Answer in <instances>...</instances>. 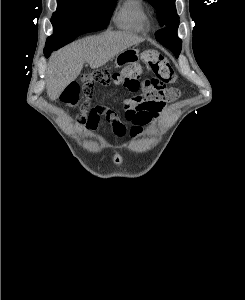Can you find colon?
<instances>
[{
    "mask_svg": "<svg viewBox=\"0 0 245 300\" xmlns=\"http://www.w3.org/2000/svg\"><path fill=\"white\" fill-rule=\"evenodd\" d=\"M142 60L154 74V78L149 80V85L155 97L164 101L176 100L180 95L179 89L170 85L176 82L177 75L167 58L157 50H147L143 53ZM141 72L142 68L138 64H131L114 72L105 69L96 70L82 77V85L70 84L62 94V101L69 106H75L79 102L82 90L85 94H91L97 86H123L129 91H136Z\"/></svg>",
    "mask_w": 245,
    "mask_h": 300,
    "instance_id": "obj_1",
    "label": "colon"
}]
</instances>
